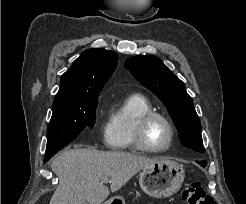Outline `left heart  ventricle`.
<instances>
[{
  "label": "left heart ventricle",
  "mask_w": 246,
  "mask_h": 204,
  "mask_svg": "<svg viewBox=\"0 0 246 204\" xmlns=\"http://www.w3.org/2000/svg\"><path fill=\"white\" fill-rule=\"evenodd\" d=\"M170 139L168 126L161 119H153L146 131L147 143L154 148H162Z\"/></svg>",
  "instance_id": "1"
}]
</instances>
